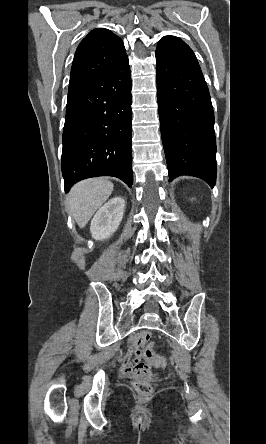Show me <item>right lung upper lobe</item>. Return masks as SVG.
I'll use <instances>...</instances> for the list:
<instances>
[{
    "instance_id": "1",
    "label": "right lung upper lobe",
    "mask_w": 266,
    "mask_h": 444,
    "mask_svg": "<svg viewBox=\"0 0 266 444\" xmlns=\"http://www.w3.org/2000/svg\"><path fill=\"white\" fill-rule=\"evenodd\" d=\"M126 56L123 41L110 30L90 31L75 52L68 98L94 84Z\"/></svg>"
}]
</instances>
